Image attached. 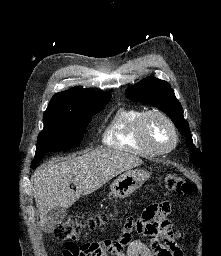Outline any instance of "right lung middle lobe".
Instances as JSON below:
<instances>
[{
    "instance_id": "obj_1",
    "label": "right lung middle lobe",
    "mask_w": 221,
    "mask_h": 256,
    "mask_svg": "<svg viewBox=\"0 0 221 256\" xmlns=\"http://www.w3.org/2000/svg\"><path fill=\"white\" fill-rule=\"evenodd\" d=\"M110 99L111 96L96 98L80 104L75 111L44 113V128L38 135L31 167L48 152L78 146L92 116L101 111Z\"/></svg>"
}]
</instances>
